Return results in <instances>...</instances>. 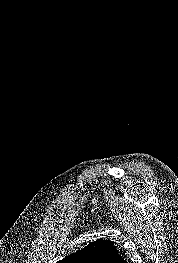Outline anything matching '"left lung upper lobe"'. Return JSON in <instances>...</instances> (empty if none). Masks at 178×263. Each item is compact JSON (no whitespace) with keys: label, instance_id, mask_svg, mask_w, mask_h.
Returning <instances> with one entry per match:
<instances>
[{"label":"left lung upper lobe","instance_id":"1","mask_svg":"<svg viewBox=\"0 0 178 263\" xmlns=\"http://www.w3.org/2000/svg\"><path fill=\"white\" fill-rule=\"evenodd\" d=\"M118 256L114 242L98 239L57 263H111Z\"/></svg>","mask_w":178,"mask_h":263}]
</instances>
